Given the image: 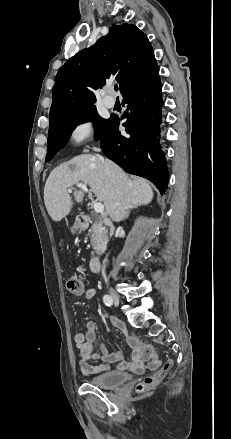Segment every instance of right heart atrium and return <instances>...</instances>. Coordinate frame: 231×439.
Listing matches in <instances>:
<instances>
[{
	"label": "right heart atrium",
	"mask_w": 231,
	"mask_h": 439,
	"mask_svg": "<svg viewBox=\"0 0 231 439\" xmlns=\"http://www.w3.org/2000/svg\"><path fill=\"white\" fill-rule=\"evenodd\" d=\"M94 136V126L91 120L83 119L73 125L69 132V143L79 146L88 142Z\"/></svg>",
	"instance_id": "obj_1"
}]
</instances>
